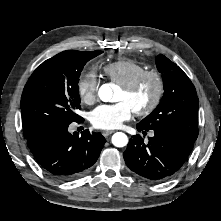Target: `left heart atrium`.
I'll list each match as a JSON object with an SVG mask.
<instances>
[{
	"mask_svg": "<svg viewBox=\"0 0 221 221\" xmlns=\"http://www.w3.org/2000/svg\"><path fill=\"white\" fill-rule=\"evenodd\" d=\"M133 113L134 110L125 101L102 104L90 113V122L97 129L113 130L129 120Z\"/></svg>",
	"mask_w": 221,
	"mask_h": 221,
	"instance_id": "obj_1",
	"label": "left heart atrium"
}]
</instances>
